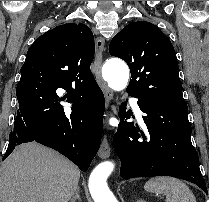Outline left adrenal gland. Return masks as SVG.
I'll return each instance as SVG.
<instances>
[{
  "label": "left adrenal gland",
  "instance_id": "obj_1",
  "mask_svg": "<svg viewBox=\"0 0 209 202\" xmlns=\"http://www.w3.org/2000/svg\"><path fill=\"white\" fill-rule=\"evenodd\" d=\"M137 202H145L144 200H142V199H139Z\"/></svg>",
  "mask_w": 209,
  "mask_h": 202
}]
</instances>
